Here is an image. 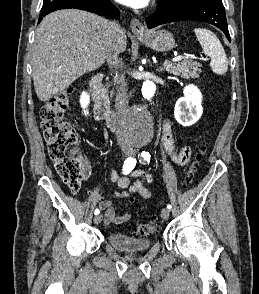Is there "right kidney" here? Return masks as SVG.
<instances>
[{
    "mask_svg": "<svg viewBox=\"0 0 259 294\" xmlns=\"http://www.w3.org/2000/svg\"><path fill=\"white\" fill-rule=\"evenodd\" d=\"M90 103V97L86 92H82L81 96H80V104L82 106V108L84 109V114L88 115V111L85 110V108L88 107Z\"/></svg>",
    "mask_w": 259,
    "mask_h": 294,
    "instance_id": "obj_1",
    "label": "right kidney"
}]
</instances>
